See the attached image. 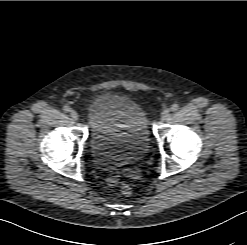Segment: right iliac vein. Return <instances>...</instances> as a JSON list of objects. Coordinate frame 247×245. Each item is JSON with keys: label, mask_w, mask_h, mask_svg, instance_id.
<instances>
[{"label": "right iliac vein", "mask_w": 247, "mask_h": 245, "mask_svg": "<svg viewBox=\"0 0 247 245\" xmlns=\"http://www.w3.org/2000/svg\"><path fill=\"white\" fill-rule=\"evenodd\" d=\"M70 116L73 120H78V113L75 110L70 111Z\"/></svg>", "instance_id": "right-iliac-vein-1"}]
</instances>
